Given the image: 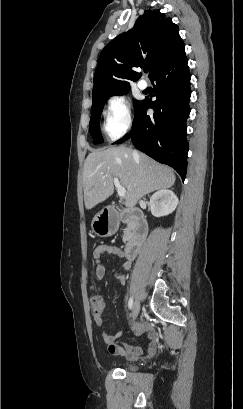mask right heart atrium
<instances>
[{"mask_svg": "<svg viewBox=\"0 0 243 409\" xmlns=\"http://www.w3.org/2000/svg\"><path fill=\"white\" fill-rule=\"evenodd\" d=\"M103 114L104 130L111 139L122 137L132 126L131 103L122 94L108 98Z\"/></svg>", "mask_w": 243, "mask_h": 409, "instance_id": "obj_1", "label": "right heart atrium"}]
</instances>
